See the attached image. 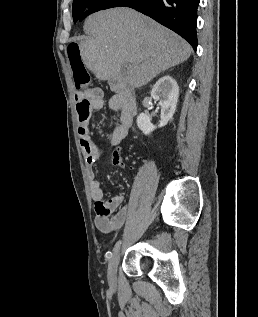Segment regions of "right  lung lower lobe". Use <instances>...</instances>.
<instances>
[{
    "mask_svg": "<svg viewBox=\"0 0 258 317\" xmlns=\"http://www.w3.org/2000/svg\"><path fill=\"white\" fill-rule=\"evenodd\" d=\"M199 1L200 0H92L86 5L78 20L82 21L88 15L99 10L119 6L130 7L173 30L187 40L196 51V23Z\"/></svg>",
    "mask_w": 258,
    "mask_h": 317,
    "instance_id": "1",
    "label": "right lung lower lobe"
}]
</instances>
